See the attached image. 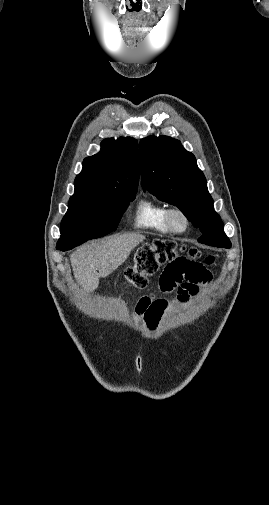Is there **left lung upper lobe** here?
<instances>
[{"mask_svg": "<svg viewBox=\"0 0 269 505\" xmlns=\"http://www.w3.org/2000/svg\"><path fill=\"white\" fill-rule=\"evenodd\" d=\"M140 171L143 189L178 207L202 232L200 243L231 248L224 224L214 211L206 178L194 155L178 140L168 136L141 139Z\"/></svg>", "mask_w": 269, "mask_h": 505, "instance_id": "obj_1", "label": "left lung upper lobe"}]
</instances>
